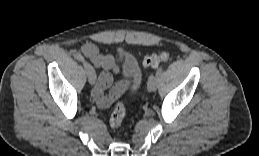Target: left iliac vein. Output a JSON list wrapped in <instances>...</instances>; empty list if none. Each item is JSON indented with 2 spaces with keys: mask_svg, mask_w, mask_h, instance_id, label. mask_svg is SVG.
<instances>
[{
  "mask_svg": "<svg viewBox=\"0 0 259 156\" xmlns=\"http://www.w3.org/2000/svg\"><path fill=\"white\" fill-rule=\"evenodd\" d=\"M154 85H155V78L152 81L148 82L147 84V88L150 92H154L156 90V88H154Z\"/></svg>",
  "mask_w": 259,
  "mask_h": 156,
  "instance_id": "obj_1",
  "label": "left iliac vein"
}]
</instances>
